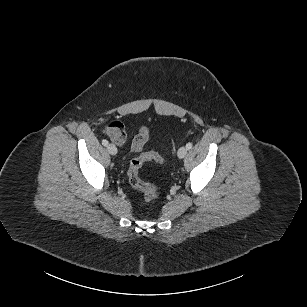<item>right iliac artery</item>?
<instances>
[{
    "label": "right iliac artery",
    "mask_w": 307,
    "mask_h": 307,
    "mask_svg": "<svg viewBox=\"0 0 307 307\" xmlns=\"http://www.w3.org/2000/svg\"><path fill=\"white\" fill-rule=\"evenodd\" d=\"M102 144H103L104 146H108V141H107L106 139H103V140H102Z\"/></svg>",
    "instance_id": "right-iliac-artery-1"
}]
</instances>
